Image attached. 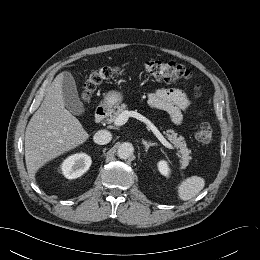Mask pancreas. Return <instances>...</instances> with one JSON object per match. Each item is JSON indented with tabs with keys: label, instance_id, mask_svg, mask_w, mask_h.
<instances>
[{
	"label": "pancreas",
	"instance_id": "cf45deb5",
	"mask_svg": "<svg viewBox=\"0 0 260 260\" xmlns=\"http://www.w3.org/2000/svg\"><path fill=\"white\" fill-rule=\"evenodd\" d=\"M117 110L113 112V114L110 116L109 119H107L108 123H112L115 121V119L125 110H127V105L126 104H121L116 107ZM168 140L174 145V147L178 150V157L181 159L180 160V165L182 169H185L188 164L189 160L191 159L190 153L191 150L187 148V144L183 140L184 138L182 136H178V134L173 130L169 129L163 132Z\"/></svg>",
	"mask_w": 260,
	"mask_h": 260
}]
</instances>
